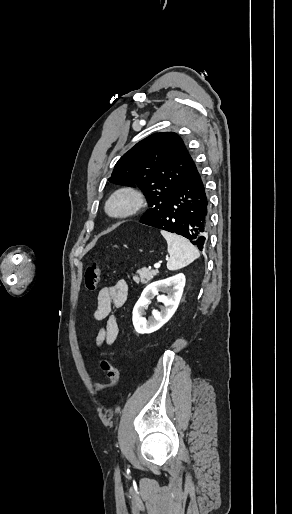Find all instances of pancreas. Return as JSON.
Masks as SVG:
<instances>
[{
  "label": "pancreas",
  "instance_id": "cf45deb5",
  "mask_svg": "<svg viewBox=\"0 0 292 514\" xmlns=\"http://www.w3.org/2000/svg\"><path fill=\"white\" fill-rule=\"evenodd\" d=\"M137 274L139 276H134L133 280L136 282V284H139V282H142V284H148L154 276H157L158 272L157 270H147V268H141V270H137Z\"/></svg>",
  "mask_w": 292,
  "mask_h": 514
}]
</instances>
